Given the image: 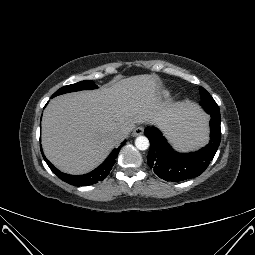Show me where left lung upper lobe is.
Masks as SVG:
<instances>
[{"mask_svg": "<svg viewBox=\"0 0 255 255\" xmlns=\"http://www.w3.org/2000/svg\"><path fill=\"white\" fill-rule=\"evenodd\" d=\"M200 95H201V105L210 104L212 106V110L217 112L219 111V107L212 98V96L209 95V93L203 88L200 87Z\"/></svg>", "mask_w": 255, "mask_h": 255, "instance_id": "obj_1", "label": "left lung upper lobe"}]
</instances>
